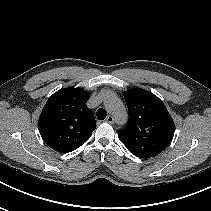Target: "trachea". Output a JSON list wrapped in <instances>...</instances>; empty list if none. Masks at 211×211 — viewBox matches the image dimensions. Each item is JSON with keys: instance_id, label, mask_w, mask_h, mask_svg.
<instances>
[{"instance_id": "1", "label": "trachea", "mask_w": 211, "mask_h": 211, "mask_svg": "<svg viewBox=\"0 0 211 211\" xmlns=\"http://www.w3.org/2000/svg\"><path fill=\"white\" fill-rule=\"evenodd\" d=\"M96 115L99 120H104L106 118L107 112L104 109L100 108L97 110Z\"/></svg>"}]
</instances>
